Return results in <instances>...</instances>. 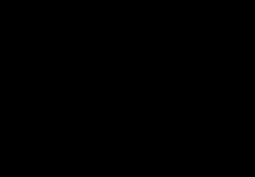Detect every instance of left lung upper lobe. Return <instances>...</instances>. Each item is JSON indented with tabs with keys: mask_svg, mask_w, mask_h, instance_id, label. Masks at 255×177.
<instances>
[{
	"mask_svg": "<svg viewBox=\"0 0 255 177\" xmlns=\"http://www.w3.org/2000/svg\"><path fill=\"white\" fill-rule=\"evenodd\" d=\"M152 45L159 54V59L162 67H166L169 59V54L172 50L171 42L164 37H152ZM161 106L171 112H177L181 104V92L175 85H167L165 79L159 76L158 79Z\"/></svg>",
	"mask_w": 255,
	"mask_h": 177,
	"instance_id": "1",
	"label": "left lung upper lobe"
}]
</instances>
